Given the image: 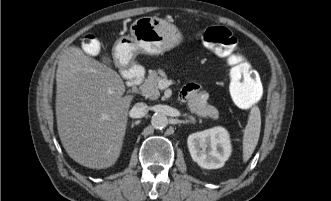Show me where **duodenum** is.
<instances>
[{
	"label": "duodenum",
	"instance_id": "duodenum-1",
	"mask_svg": "<svg viewBox=\"0 0 331 201\" xmlns=\"http://www.w3.org/2000/svg\"><path fill=\"white\" fill-rule=\"evenodd\" d=\"M127 74H128L127 86L133 89L138 85V83L143 78L144 70L139 65L134 64L127 69Z\"/></svg>",
	"mask_w": 331,
	"mask_h": 201
}]
</instances>
